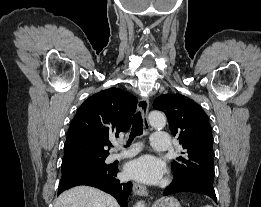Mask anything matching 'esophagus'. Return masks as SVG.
<instances>
[{
  "instance_id": "esophagus-1",
  "label": "esophagus",
  "mask_w": 261,
  "mask_h": 207,
  "mask_svg": "<svg viewBox=\"0 0 261 207\" xmlns=\"http://www.w3.org/2000/svg\"><path fill=\"white\" fill-rule=\"evenodd\" d=\"M137 110L141 112L144 121V126L146 129H148L149 128V122H148L149 100L147 97H142L139 99L137 104ZM133 191L136 195L143 196V197L148 196L147 188L140 183L133 184Z\"/></svg>"
}]
</instances>
